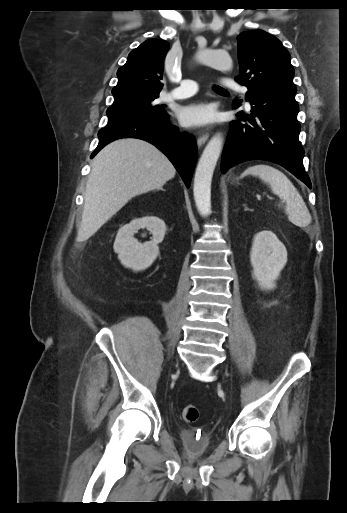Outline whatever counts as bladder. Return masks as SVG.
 <instances>
[{"instance_id":"bladder-1","label":"bladder","mask_w":347,"mask_h":513,"mask_svg":"<svg viewBox=\"0 0 347 513\" xmlns=\"http://www.w3.org/2000/svg\"><path fill=\"white\" fill-rule=\"evenodd\" d=\"M184 450L192 455H204L212 447L211 436L195 429H182L180 431Z\"/></svg>"}]
</instances>
